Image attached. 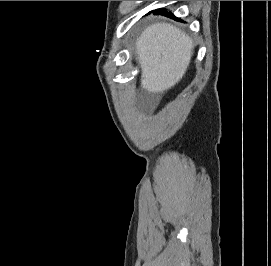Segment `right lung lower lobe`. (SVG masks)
Segmentation results:
<instances>
[{
	"instance_id": "obj_1",
	"label": "right lung lower lobe",
	"mask_w": 271,
	"mask_h": 266,
	"mask_svg": "<svg viewBox=\"0 0 271 266\" xmlns=\"http://www.w3.org/2000/svg\"><path fill=\"white\" fill-rule=\"evenodd\" d=\"M154 14H162V15H169L171 13H168L166 10L164 9H157L155 11H153ZM171 16L173 17V15L171 14Z\"/></svg>"
}]
</instances>
